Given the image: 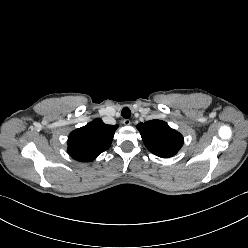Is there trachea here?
I'll return each instance as SVG.
<instances>
[{"mask_svg": "<svg viewBox=\"0 0 248 248\" xmlns=\"http://www.w3.org/2000/svg\"><path fill=\"white\" fill-rule=\"evenodd\" d=\"M121 115L123 118H129L131 116V110L128 107H124L121 111Z\"/></svg>", "mask_w": 248, "mask_h": 248, "instance_id": "trachea-1", "label": "trachea"}]
</instances>
